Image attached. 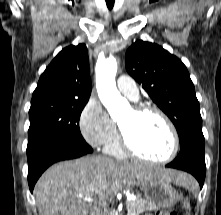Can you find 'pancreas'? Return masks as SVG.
Masks as SVG:
<instances>
[{
  "instance_id": "1",
  "label": "pancreas",
  "mask_w": 221,
  "mask_h": 215,
  "mask_svg": "<svg viewBox=\"0 0 221 215\" xmlns=\"http://www.w3.org/2000/svg\"><path fill=\"white\" fill-rule=\"evenodd\" d=\"M128 215H139L146 210H156L157 207L153 206L150 202L142 198L126 201Z\"/></svg>"
}]
</instances>
